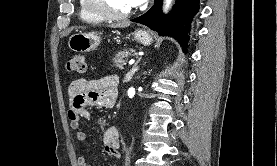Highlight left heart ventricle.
<instances>
[{"instance_id": "b2bd125f", "label": "left heart ventricle", "mask_w": 277, "mask_h": 166, "mask_svg": "<svg viewBox=\"0 0 277 166\" xmlns=\"http://www.w3.org/2000/svg\"><path fill=\"white\" fill-rule=\"evenodd\" d=\"M106 10L120 14L132 9L130 0H96Z\"/></svg>"}]
</instances>
